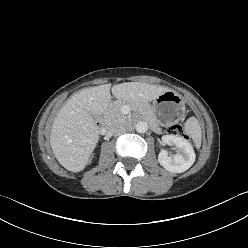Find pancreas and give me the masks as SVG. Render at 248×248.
<instances>
[{"instance_id": "obj_1", "label": "pancreas", "mask_w": 248, "mask_h": 248, "mask_svg": "<svg viewBox=\"0 0 248 248\" xmlns=\"http://www.w3.org/2000/svg\"><path fill=\"white\" fill-rule=\"evenodd\" d=\"M125 105H130L128 102L116 103L108 112V117L112 122H126L127 116L121 112V109ZM150 108V107H149ZM147 107H141V115L149 120L153 121L152 112Z\"/></svg>"}]
</instances>
